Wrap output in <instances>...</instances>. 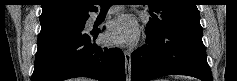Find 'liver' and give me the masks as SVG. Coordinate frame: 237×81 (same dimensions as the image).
I'll list each match as a JSON object with an SVG mask.
<instances>
[{
  "instance_id": "obj_1",
  "label": "liver",
  "mask_w": 237,
  "mask_h": 81,
  "mask_svg": "<svg viewBox=\"0 0 237 81\" xmlns=\"http://www.w3.org/2000/svg\"><path fill=\"white\" fill-rule=\"evenodd\" d=\"M75 81H90V80L88 78L82 77V78H76Z\"/></svg>"
}]
</instances>
